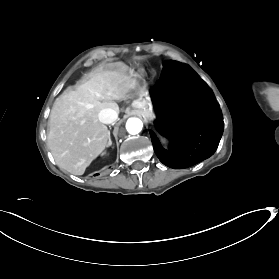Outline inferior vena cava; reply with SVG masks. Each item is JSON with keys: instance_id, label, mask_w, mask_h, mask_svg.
<instances>
[{"instance_id": "obj_1", "label": "inferior vena cava", "mask_w": 279, "mask_h": 279, "mask_svg": "<svg viewBox=\"0 0 279 279\" xmlns=\"http://www.w3.org/2000/svg\"><path fill=\"white\" fill-rule=\"evenodd\" d=\"M114 109L117 111L116 108ZM115 110L111 108H102V110L98 114L100 122L104 124H111L116 121V119L118 118V113Z\"/></svg>"}]
</instances>
